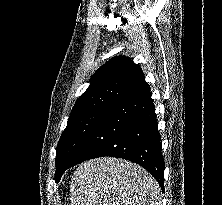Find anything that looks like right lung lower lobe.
I'll list each match as a JSON object with an SVG mask.
<instances>
[{
  "label": "right lung lower lobe",
  "mask_w": 222,
  "mask_h": 205,
  "mask_svg": "<svg viewBox=\"0 0 222 205\" xmlns=\"http://www.w3.org/2000/svg\"><path fill=\"white\" fill-rule=\"evenodd\" d=\"M101 156L123 158L141 165L164 190L161 136L148 85L107 112L83 142L68 168Z\"/></svg>",
  "instance_id": "98d812e1"
}]
</instances>
